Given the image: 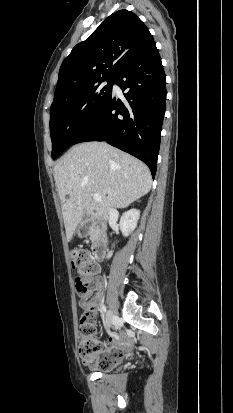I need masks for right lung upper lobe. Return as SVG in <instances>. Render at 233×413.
<instances>
[{
	"instance_id": "1",
	"label": "right lung upper lobe",
	"mask_w": 233,
	"mask_h": 413,
	"mask_svg": "<svg viewBox=\"0 0 233 413\" xmlns=\"http://www.w3.org/2000/svg\"><path fill=\"white\" fill-rule=\"evenodd\" d=\"M153 42L148 28L133 12L119 10L111 14L63 61L53 102L114 78L124 64Z\"/></svg>"
}]
</instances>
